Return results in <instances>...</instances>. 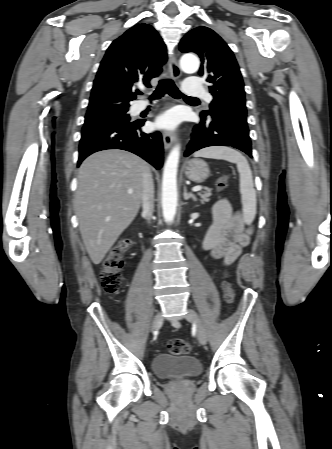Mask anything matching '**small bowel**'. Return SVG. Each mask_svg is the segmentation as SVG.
Returning a JSON list of instances; mask_svg holds the SVG:
<instances>
[{"instance_id": "c3829d8e", "label": "small bowel", "mask_w": 332, "mask_h": 449, "mask_svg": "<svg viewBox=\"0 0 332 449\" xmlns=\"http://www.w3.org/2000/svg\"><path fill=\"white\" fill-rule=\"evenodd\" d=\"M251 230L247 228L238 211L226 199L219 200L212 212V224L203 241V248L213 258L225 264L234 262L242 248L249 243Z\"/></svg>"}]
</instances>
